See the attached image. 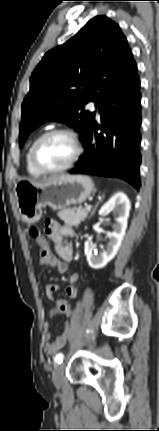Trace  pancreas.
<instances>
[{"mask_svg":"<svg viewBox=\"0 0 159 431\" xmlns=\"http://www.w3.org/2000/svg\"><path fill=\"white\" fill-rule=\"evenodd\" d=\"M90 210H85L81 207H74L61 210L58 212V217L63 220L67 225L78 226L82 221H84Z\"/></svg>","mask_w":159,"mask_h":431,"instance_id":"1","label":"pancreas"}]
</instances>
